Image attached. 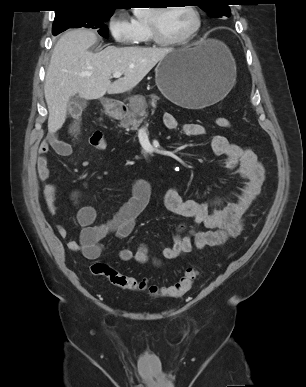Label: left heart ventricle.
I'll list each match as a JSON object with an SVG mask.
<instances>
[{
  "instance_id": "b2bd125f",
  "label": "left heart ventricle",
  "mask_w": 306,
  "mask_h": 387,
  "mask_svg": "<svg viewBox=\"0 0 306 387\" xmlns=\"http://www.w3.org/2000/svg\"><path fill=\"white\" fill-rule=\"evenodd\" d=\"M194 16L186 7H168L157 17L158 28L165 39H180L194 26Z\"/></svg>"
}]
</instances>
